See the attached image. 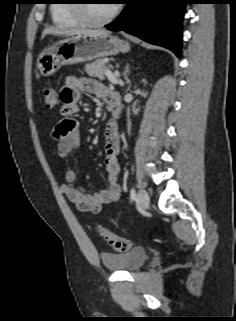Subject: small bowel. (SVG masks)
<instances>
[{"instance_id": "c3829d8e", "label": "small bowel", "mask_w": 236, "mask_h": 321, "mask_svg": "<svg viewBox=\"0 0 236 321\" xmlns=\"http://www.w3.org/2000/svg\"><path fill=\"white\" fill-rule=\"evenodd\" d=\"M90 94L109 101L113 94L118 93L90 78L68 76L65 85L60 90L62 118L53 126L51 136L57 141V151L60 157L68 158L78 155L81 150L79 122L74 117L79 111V101L82 94ZM105 156L103 164L108 178V187L98 191H89L78 185L77 172L68 169L65 172V183L61 186L62 193L79 210L99 213L104 204H116L120 199V185L118 176L120 164L118 153L120 134L117 124L113 120L106 123L104 129Z\"/></svg>"}]
</instances>
